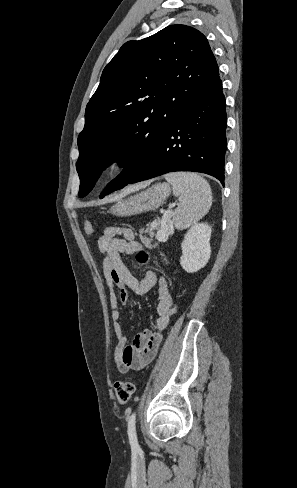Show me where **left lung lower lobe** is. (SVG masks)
<instances>
[{
    "label": "left lung lower lobe",
    "mask_w": 297,
    "mask_h": 488,
    "mask_svg": "<svg viewBox=\"0 0 297 488\" xmlns=\"http://www.w3.org/2000/svg\"><path fill=\"white\" fill-rule=\"evenodd\" d=\"M222 81L191 105L168 131L138 174L136 183L174 171L201 172L224 186L226 111ZM126 184V185H127Z\"/></svg>",
    "instance_id": "left-lung-lower-lobe-1"
}]
</instances>
